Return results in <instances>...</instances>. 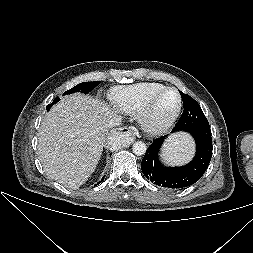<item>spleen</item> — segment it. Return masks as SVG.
Segmentation results:
<instances>
[{
	"mask_svg": "<svg viewBox=\"0 0 253 253\" xmlns=\"http://www.w3.org/2000/svg\"><path fill=\"white\" fill-rule=\"evenodd\" d=\"M193 142L187 135L171 137L163 148V159L170 164H180L189 160L193 154Z\"/></svg>",
	"mask_w": 253,
	"mask_h": 253,
	"instance_id": "spleen-1",
	"label": "spleen"
}]
</instances>
